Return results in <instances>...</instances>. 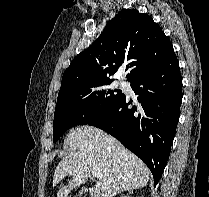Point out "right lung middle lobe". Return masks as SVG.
Masks as SVG:
<instances>
[{
  "label": "right lung middle lobe",
  "instance_id": "right-lung-middle-lobe-1",
  "mask_svg": "<svg viewBox=\"0 0 209 197\" xmlns=\"http://www.w3.org/2000/svg\"><path fill=\"white\" fill-rule=\"evenodd\" d=\"M111 82L79 83L60 89L54 113L53 142L69 128L88 124L124 96L120 89L110 87Z\"/></svg>",
  "mask_w": 209,
  "mask_h": 197
}]
</instances>
